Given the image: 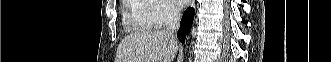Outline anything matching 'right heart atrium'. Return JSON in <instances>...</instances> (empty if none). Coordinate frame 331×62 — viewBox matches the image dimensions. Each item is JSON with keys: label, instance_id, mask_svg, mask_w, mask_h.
<instances>
[{"label": "right heart atrium", "instance_id": "d8ad5b80", "mask_svg": "<svg viewBox=\"0 0 331 62\" xmlns=\"http://www.w3.org/2000/svg\"><path fill=\"white\" fill-rule=\"evenodd\" d=\"M151 10L149 24L152 28H161L169 22L174 21L178 15V9L167 0H143Z\"/></svg>", "mask_w": 331, "mask_h": 62}]
</instances>
